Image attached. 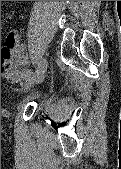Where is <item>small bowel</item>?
<instances>
[{"mask_svg": "<svg viewBox=\"0 0 121 169\" xmlns=\"http://www.w3.org/2000/svg\"><path fill=\"white\" fill-rule=\"evenodd\" d=\"M27 62L24 48L18 42L15 31H10L5 45L1 48V75L10 81L24 78V74L28 70H24L22 67Z\"/></svg>", "mask_w": 121, "mask_h": 169, "instance_id": "small-bowel-1", "label": "small bowel"}]
</instances>
